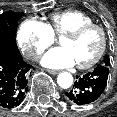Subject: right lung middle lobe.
<instances>
[{
    "label": "right lung middle lobe",
    "mask_w": 117,
    "mask_h": 117,
    "mask_svg": "<svg viewBox=\"0 0 117 117\" xmlns=\"http://www.w3.org/2000/svg\"><path fill=\"white\" fill-rule=\"evenodd\" d=\"M22 12L7 11L0 15V41L16 42L15 33Z\"/></svg>",
    "instance_id": "dd1d6c3e"
}]
</instances>
